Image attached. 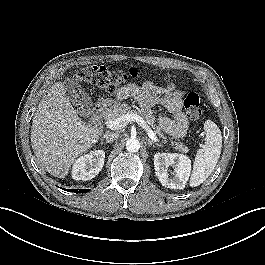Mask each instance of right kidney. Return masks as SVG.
<instances>
[{"label": "right kidney", "mask_w": 265, "mask_h": 265, "mask_svg": "<svg viewBox=\"0 0 265 265\" xmlns=\"http://www.w3.org/2000/svg\"><path fill=\"white\" fill-rule=\"evenodd\" d=\"M105 152L95 150L76 160L72 169V178L87 181L94 178L104 166Z\"/></svg>", "instance_id": "right-kidney-1"}]
</instances>
